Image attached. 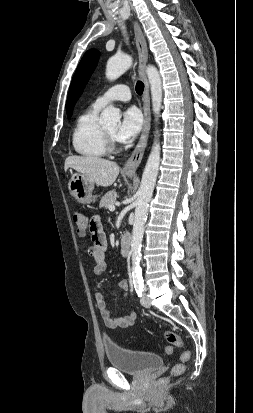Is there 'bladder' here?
I'll use <instances>...</instances> for the list:
<instances>
[{
    "instance_id": "obj_1",
    "label": "bladder",
    "mask_w": 253,
    "mask_h": 413,
    "mask_svg": "<svg viewBox=\"0 0 253 413\" xmlns=\"http://www.w3.org/2000/svg\"><path fill=\"white\" fill-rule=\"evenodd\" d=\"M104 352L110 365L125 373L142 375L163 365V358L152 352L124 348L104 341Z\"/></svg>"
}]
</instances>
